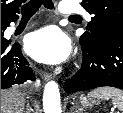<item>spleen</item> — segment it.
I'll list each match as a JSON object with an SVG mask.
<instances>
[{"instance_id":"3e777b00","label":"spleen","mask_w":123,"mask_h":113,"mask_svg":"<svg viewBox=\"0 0 123 113\" xmlns=\"http://www.w3.org/2000/svg\"><path fill=\"white\" fill-rule=\"evenodd\" d=\"M89 97H95L101 100L112 99L114 105L118 107L120 111H123V91L112 87H102L93 90L88 94Z\"/></svg>"}]
</instances>
